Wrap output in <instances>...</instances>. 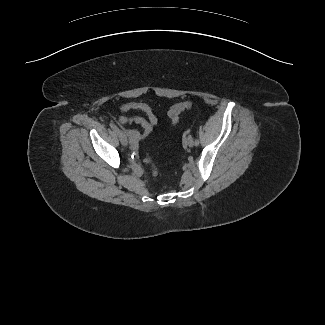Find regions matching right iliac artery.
Returning <instances> with one entry per match:
<instances>
[{"label":"right iliac artery","instance_id":"1","mask_svg":"<svg viewBox=\"0 0 325 325\" xmlns=\"http://www.w3.org/2000/svg\"><path fill=\"white\" fill-rule=\"evenodd\" d=\"M109 125L115 133L119 134L120 130L114 123L111 122Z\"/></svg>","mask_w":325,"mask_h":325}]
</instances>
